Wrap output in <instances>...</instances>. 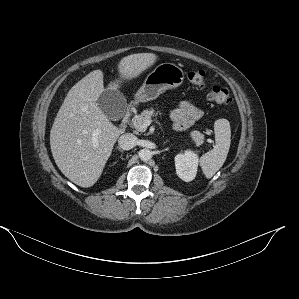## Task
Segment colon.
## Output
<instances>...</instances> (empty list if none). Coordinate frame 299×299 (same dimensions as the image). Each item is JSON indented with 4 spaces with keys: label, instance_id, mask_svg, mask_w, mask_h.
<instances>
[{
    "label": "colon",
    "instance_id": "1",
    "mask_svg": "<svg viewBox=\"0 0 299 299\" xmlns=\"http://www.w3.org/2000/svg\"><path fill=\"white\" fill-rule=\"evenodd\" d=\"M189 82L200 89L207 86V75L204 70H194L188 74ZM208 98L218 104L231 102V93L228 88L220 85H213L208 89Z\"/></svg>",
    "mask_w": 299,
    "mask_h": 299
}]
</instances>
